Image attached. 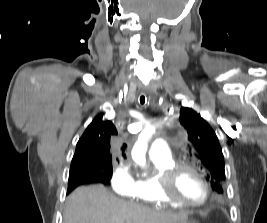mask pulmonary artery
<instances>
[{"label": "pulmonary artery", "mask_w": 267, "mask_h": 223, "mask_svg": "<svg viewBox=\"0 0 267 223\" xmlns=\"http://www.w3.org/2000/svg\"><path fill=\"white\" fill-rule=\"evenodd\" d=\"M148 154L152 158L159 159H168L171 157L169 145L162 139H158L153 142L148 150Z\"/></svg>", "instance_id": "e3ab8cb5"}]
</instances>
